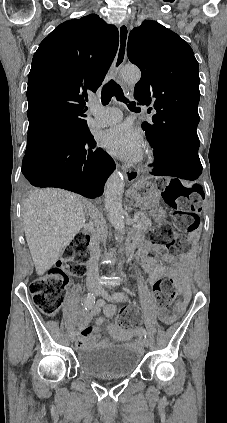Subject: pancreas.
Instances as JSON below:
<instances>
[{
	"mask_svg": "<svg viewBox=\"0 0 227 423\" xmlns=\"http://www.w3.org/2000/svg\"><path fill=\"white\" fill-rule=\"evenodd\" d=\"M144 210H148V208H141L139 211V217L137 219V225L139 229H147V227L151 225V219L147 217L148 213Z\"/></svg>",
	"mask_w": 227,
	"mask_h": 423,
	"instance_id": "obj_1",
	"label": "pancreas"
}]
</instances>
